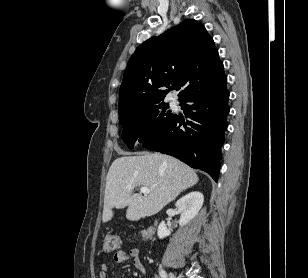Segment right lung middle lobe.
<instances>
[{
  "instance_id": "right-lung-middle-lobe-1",
  "label": "right lung middle lobe",
  "mask_w": 308,
  "mask_h": 278,
  "mask_svg": "<svg viewBox=\"0 0 308 278\" xmlns=\"http://www.w3.org/2000/svg\"><path fill=\"white\" fill-rule=\"evenodd\" d=\"M167 109L168 104L157 103L135 110L120 119L123 126L122 139L130 149L137 140L145 142L169 125L175 115Z\"/></svg>"
}]
</instances>
